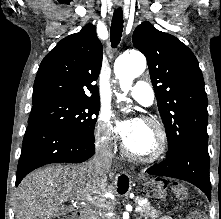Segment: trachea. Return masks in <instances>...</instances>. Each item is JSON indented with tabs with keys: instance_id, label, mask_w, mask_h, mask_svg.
<instances>
[{
	"instance_id": "3493384b",
	"label": "trachea",
	"mask_w": 221,
	"mask_h": 219,
	"mask_svg": "<svg viewBox=\"0 0 221 219\" xmlns=\"http://www.w3.org/2000/svg\"><path fill=\"white\" fill-rule=\"evenodd\" d=\"M123 23V11L122 8L119 7L114 10L110 29V40L113 48H116L121 40Z\"/></svg>"
}]
</instances>
